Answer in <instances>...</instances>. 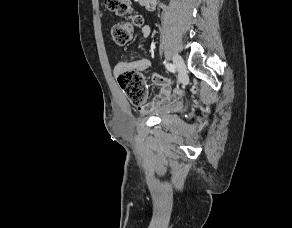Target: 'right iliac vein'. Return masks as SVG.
Instances as JSON below:
<instances>
[{
    "instance_id": "1",
    "label": "right iliac vein",
    "mask_w": 292,
    "mask_h": 228,
    "mask_svg": "<svg viewBox=\"0 0 292 228\" xmlns=\"http://www.w3.org/2000/svg\"><path fill=\"white\" fill-rule=\"evenodd\" d=\"M173 62L179 71V82L186 83L188 77H187L186 67H185V63H184L183 59L178 54H174L173 55Z\"/></svg>"
}]
</instances>
